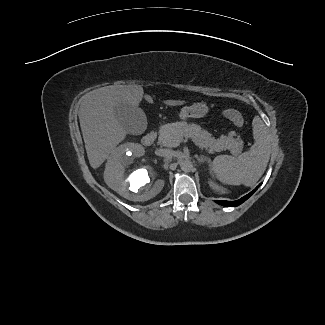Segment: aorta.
<instances>
[{"label": "aorta", "instance_id": "obj_1", "mask_svg": "<svg viewBox=\"0 0 325 325\" xmlns=\"http://www.w3.org/2000/svg\"><path fill=\"white\" fill-rule=\"evenodd\" d=\"M180 168L183 172H190L191 169L193 168V164L190 160H183L180 163Z\"/></svg>", "mask_w": 325, "mask_h": 325}]
</instances>
